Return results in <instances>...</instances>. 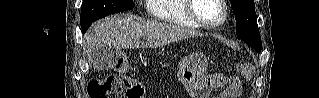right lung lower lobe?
Segmentation results:
<instances>
[{"instance_id":"98d812e1","label":"right lung lower lobe","mask_w":319,"mask_h":98,"mask_svg":"<svg viewBox=\"0 0 319 98\" xmlns=\"http://www.w3.org/2000/svg\"><path fill=\"white\" fill-rule=\"evenodd\" d=\"M90 25H91V23L87 24L85 26H82V33H85Z\"/></svg>"}]
</instances>
